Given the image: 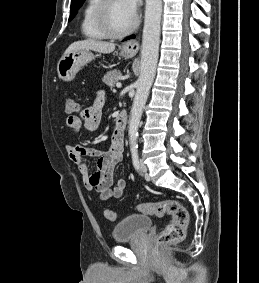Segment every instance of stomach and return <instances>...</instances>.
Masks as SVG:
<instances>
[{
  "label": "stomach",
  "instance_id": "stomach-1",
  "mask_svg": "<svg viewBox=\"0 0 259 283\" xmlns=\"http://www.w3.org/2000/svg\"><path fill=\"white\" fill-rule=\"evenodd\" d=\"M120 55L131 57L133 54L122 50ZM94 55L88 49H78L63 56L57 65V72L60 79L63 81H72L79 69L95 59Z\"/></svg>",
  "mask_w": 259,
  "mask_h": 283
}]
</instances>
